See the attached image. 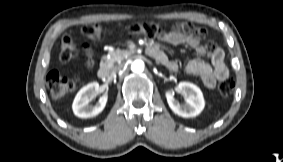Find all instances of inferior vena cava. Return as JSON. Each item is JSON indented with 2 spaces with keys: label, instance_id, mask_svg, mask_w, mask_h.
<instances>
[{
  "label": "inferior vena cava",
  "instance_id": "inferior-vena-cava-1",
  "mask_svg": "<svg viewBox=\"0 0 283 162\" xmlns=\"http://www.w3.org/2000/svg\"><path fill=\"white\" fill-rule=\"evenodd\" d=\"M120 70V67H115L112 71H111V74L112 75H115L117 71Z\"/></svg>",
  "mask_w": 283,
  "mask_h": 162
}]
</instances>
